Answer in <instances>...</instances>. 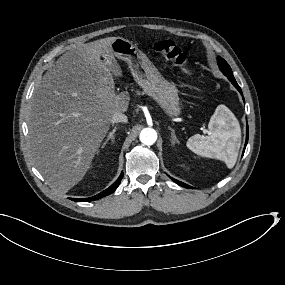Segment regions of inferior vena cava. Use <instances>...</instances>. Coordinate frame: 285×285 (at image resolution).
<instances>
[{
	"label": "inferior vena cava",
	"instance_id": "1",
	"mask_svg": "<svg viewBox=\"0 0 285 285\" xmlns=\"http://www.w3.org/2000/svg\"><path fill=\"white\" fill-rule=\"evenodd\" d=\"M111 122L113 124L115 123H127V117L125 114L121 113V112H115L112 116Z\"/></svg>",
	"mask_w": 285,
	"mask_h": 285
}]
</instances>
